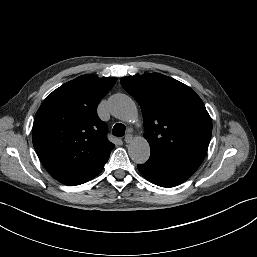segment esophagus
Here are the masks:
<instances>
[{
	"instance_id": "esophagus-1",
	"label": "esophagus",
	"mask_w": 257,
	"mask_h": 257,
	"mask_svg": "<svg viewBox=\"0 0 257 257\" xmlns=\"http://www.w3.org/2000/svg\"><path fill=\"white\" fill-rule=\"evenodd\" d=\"M132 139H133L132 135L131 134H127V135H125L124 141L126 143H130L132 141Z\"/></svg>"
}]
</instances>
